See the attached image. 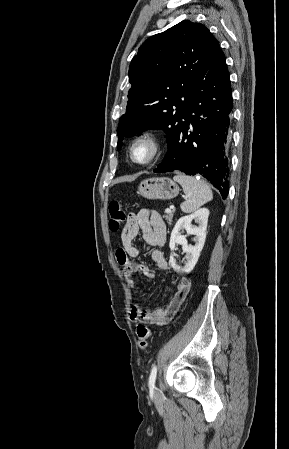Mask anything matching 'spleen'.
I'll use <instances>...</instances> for the list:
<instances>
[{"mask_svg":"<svg viewBox=\"0 0 289 449\" xmlns=\"http://www.w3.org/2000/svg\"><path fill=\"white\" fill-rule=\"evenodd\" d=\"M173 179L182 186L187 197L180 205L184 213L194 212L213 199L212 190L204 181L181 173L175 175Z\"/></svg>","mask_w":289,"mask_h":449,"instance_id":"1","label":"spleen"}]
</instances>
